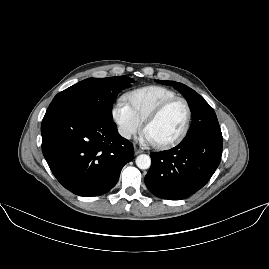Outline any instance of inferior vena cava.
<instances>
[{
    "label": "inferior vena cava",
    "instance_id": "obj_1",
    "mask_svg": "<svg viewBox=\"0 0 269 269\" xmlns=\"http://www.w3.org/2000/svg\"><path fill=\"white\" fill-rule=\"evenodd\" d=\"M118 133L122 136V137H124V138H126V139H131V136H132V134H131V131L130 130H128L127 128H125V127H118Z\"/></svg>",
    "mask_w": 269,
    "mask_h": 269
}]
</instances>
